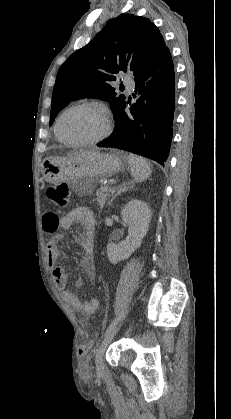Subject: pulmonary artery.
<instances>
[{
  "label": "pulmonary artery",
  "instance_id": "1",
  "mask_svg": "<svg viewBox=\"0 0 231 419\" xmlns=\"http://www.w3.org/2000/svg\"><path fill=\"white\" fill-rule=\"evenodd\" d=\"M124 84H125V86H126V88H127L128 90L133 89V88H134V86H135V82H134V80H133L132 78H126V79L124 80Z\"/></svg>",
  "mask_w": 231,
  "mask_h": 419
}]
</instances>
